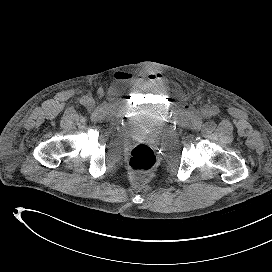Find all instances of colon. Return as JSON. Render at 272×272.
<instances>
[{
  "instance_id": "1",
  "label": "colon",
  "mask_w": 272,
  "mask_h": 272,
  "mask_svg": "<svg viewBox=\"0 0 272 272\" xmlns=\"http://www.w3.org/2000/svg\"><path fill=\"white\" fill-rule=\"evenodd\" d=\"M156 163V156L153 150L145 145H136L129 153L127 164L133 170H149Z\"/></svg>"
}]
</instances>
